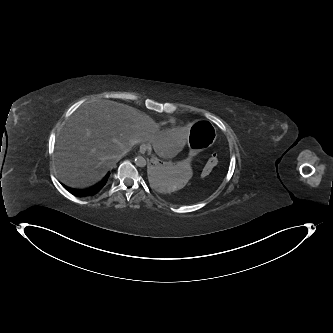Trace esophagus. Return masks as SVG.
I'll return each instance as SVG.
<instances>
[{
	"label": "esophagus",
	"instance_id": "esophagus-1",
	"mask_svg": "<svg viewBox=\"0 0 333 333\" xmlns=\"http://www.w3.org/2000/svg\"><path fill=\"white\" fill-rule=\"evenodd\" d=\"M147 150H148V146H147L146 144H141V145H140L139 152H140L141 154L144 155V154L147 152Z\"/></svg>",
	"mask_w": 333,
	"mask_h": 333
}]
</instances>
